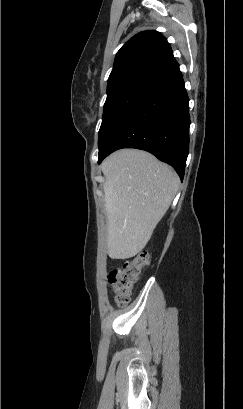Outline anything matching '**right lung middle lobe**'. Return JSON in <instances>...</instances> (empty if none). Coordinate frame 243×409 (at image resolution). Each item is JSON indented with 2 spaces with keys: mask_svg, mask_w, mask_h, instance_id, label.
<instances>
[{
  "mask_svg": "<svg viewBox=\"0 0 243 409\" xmlns=\"http://www.w3.org/2000/svg\"><path fill=\"white\" fill-rule=\"evenodd\" d=\"M160 81L153 77L137 76L115 82L107 87V99L98 138L99 153L118 126Z\"/></svg>",
  "mask_w": 243,
  "mask_h": 409,
  "instance_id": "dd1d6c3e",
  "label": "right lung middle lobe"
}]
</instances>
